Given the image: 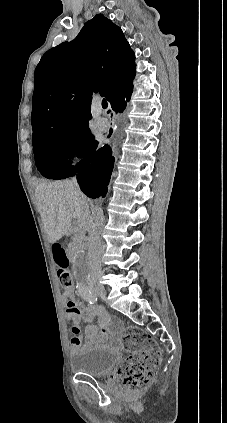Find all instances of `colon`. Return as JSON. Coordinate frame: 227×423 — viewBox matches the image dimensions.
Segmentation results:
<instances>
[{
  "mask_svg": "<svg viewBox=\"0 0 227 423\" xmlns=\"http://www.w3.org/2000/svg\"><path fill=\"white\" fill-rule=\"evenodd\" d=\"M53 253L58 266V276L63 285L69 288L72 286V280L65 251L59 244H54ZM123 348L129 355L117 371V380L130 390H146L161 360L157 343L145 331L129 327L124 333Z\"/></svg>",
  "mask_w": 227,
  "mask_h": 423,
  "instance_id": "obj_1",
  "label": "colon"
}]
</instances>
